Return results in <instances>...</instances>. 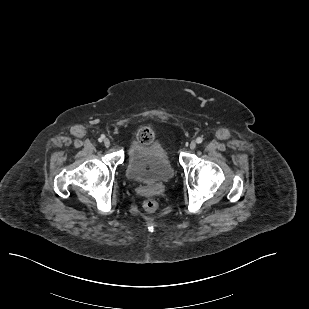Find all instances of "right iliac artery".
I'll return each instance as SVG.
<instances>
[{
	"label": "right iliac artery",
	"mask_w": 309,
	"mask_h": 309,
	"mask_svg": "<svg viewBox=\"0 0 309 309\" xmlns=\"http://www.w3.org/2000/svg\"><path fill=\"white\" fill-rule=\"evenodd\" d=\"M104 138H105V136H104V135H101V137L98 139V141H99V142H102Z\"/></svg>",
	"instance_id": "right-iliac-artery-1"
}]
</instances>
